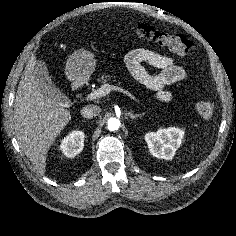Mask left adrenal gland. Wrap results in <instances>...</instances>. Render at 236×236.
<instances>
[{"instance_id":"a2214340","label":"left adrenal gland","mask_w":236,"mask_h":236,"mask_svg":"<svg viewBox=\"0 0 236 236\" xmlns=\"http://www.w3.org/2000/svg\"><path fill=\"white\" fill-rule=\"evenodd\" d=\"M127 115L131 118V119H137L138 117H142L144 115V113L141 114H134L132 111L128 112Z\"/></svg>"}]
</instances>
